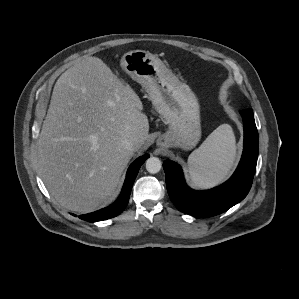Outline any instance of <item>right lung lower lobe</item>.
<instances>
[{"mask_svg":"<svg viewBox=\"0 0 299 299\" xmlns=\"http://www.w3.org/2000/svg\"><path fill=\"white\" fill-rule=\"evenodd\" d=\"M149 158L148 154H145L139 158H137L129 167L125 179V183L123 186V189L121 191L120 196L118 199L110 206L101 209L99 211L86 214V215H80L79 218L90 221V222H95V221H101V220H106L112 217H115L119 215L126 207L129 197H130V192L132 189V185L134 183V180L138 174V171L141 167V165L145 162V160Z\"/></svg>","mask_w":299,"mask_h":299,"instance_id":"98d812e1","label":"right lung lower lobe"}]
</instances>
